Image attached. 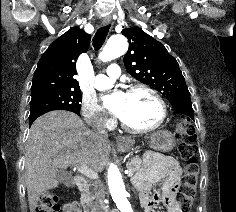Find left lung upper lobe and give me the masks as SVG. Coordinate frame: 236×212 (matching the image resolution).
Returning a JSON list of instances; mask_svg holds the SVG:
<instances>
[{
	"instance_id": "5c2ea615",
	"label": "left lung upper lobe",
	"mask_w": 236,
	"mask_h": 212,
	"mask_svg": "<svg viewBox=\"0 0 236 212\" xmlns=\"http://www.w3.org/2000/svg\"><path fill=\"white\" fill-rule=\"evenodd\" d=\"M122 34L129 41L124 57L129 74L159 91L171 104L179 99H190L179 65L163 44L137 27L126 28Z\"/></svg>"
}]
</instances>
